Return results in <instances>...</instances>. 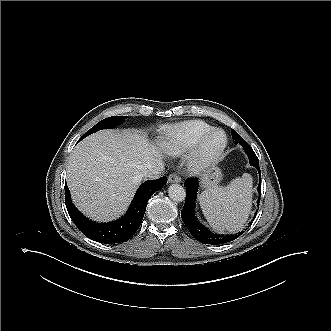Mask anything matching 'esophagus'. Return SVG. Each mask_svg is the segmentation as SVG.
I'll return each instance as SVG.
<instances>
[{"label": "esophagus", "instance_id": "34e87169", "mask_svg": "<svg viewBox=\"0 0 331 331\" xmlns=\"http://www.w3.org/2000/svg\"><path fill=\"white\" fill-rule=\"evenodd\" d=\"M168 182L169 183H179V182H181V178L176 173H172L168 177Z\"/></svg>", "mask_w": 331, "mask_h": 331}]
</instances>
